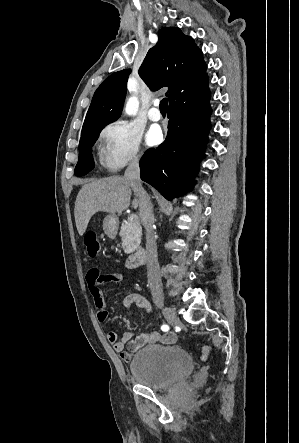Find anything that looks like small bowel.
<instances>
[{
	"mask_svg": "<svg viewBox=\"0 0 299 443\" xmlns=\"http://www.w3.org/2000/svg\"><path fill=\"white\" fill-rule=\"evenodd\" d=\"M86 280L88 290L93 300L96 317L100 322L108 319L109 313L106 309V303L102 291L99 288L101 283H116L123 280L121 274H101L96 268H92L87 272ZM123 304L130 309L132 306H137L143 309L148 315L152 313V307L149 301L139 293H129L125 296ZM132 332L126 331L121 337L116 331H109L107 334L108 341L112 344L114 350L120 353L125 361H130L133 354L140 348L155 343L163 345H171L176 342L177 336L174 333L160 334L157 332H143L135 339L131 340ZM131 340V341H130ZM130 341L128 350L125 349L126 343Z\"/></svg>",
	"mask_w": 299,
	"mask_h": 443,
	"instance_id": "c3829d8e",
	"label": "small bowel"
}]
</instances>
